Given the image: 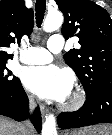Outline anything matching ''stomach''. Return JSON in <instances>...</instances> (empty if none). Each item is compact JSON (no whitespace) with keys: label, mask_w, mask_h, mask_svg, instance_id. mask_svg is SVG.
<instances>
[{"label":"stomach","mask_w":112,"mask_h":135,"mask_svg":"<svg viewBox=\"0 0 112 135\" xmlns=\"http://www.w3.org/2000/svg\"><path fill=\"white\" fill-rule=\"evenodd\" d=\"M66 135H112V125H96Z\"/></svg>","instance_id":"stomach-1"}]
</instances>
